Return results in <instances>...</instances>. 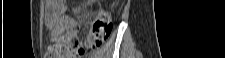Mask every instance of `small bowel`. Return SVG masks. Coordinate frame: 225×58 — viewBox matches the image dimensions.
I'll return each instance as SVG.
<instances>
[{
    "label": "small bowel",
    "instance_id": "c3829d8e",
    "mask_svg": "<svg viewBox=\"0 0 225 58\" xmlns=\"http://www.w3.org/2000/svg\"><path fill=\"white\" fill-rule=\"evenodd\" d=\"M64 10V3L60 0H47L46 2V22L50 27L56 26L59 17Z\"/></svg>",
    "mask_w": 225,
    "mask_h": 58
}]
</instances>
